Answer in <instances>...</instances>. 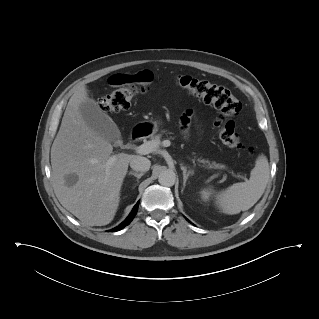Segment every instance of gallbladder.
<instances>
[{
  "instance_id": "1",
  "label": "gallbladder",
  "mask_w": 319,
  "mask_h": 319,
  "mask_svg": "<svg viewBox=\"0 0 319 319\" xmlns=\"http://www.w3.org/2000/svg\"><path fill=\"white\" fill-rule=\"evenodd\" d=\"M80 112L87 126L109 142L118 144L121 133L114 121L92 99L80 105Z\"/></svg>"
}]
</instances>
